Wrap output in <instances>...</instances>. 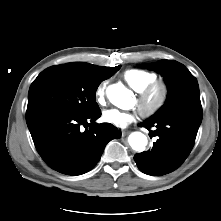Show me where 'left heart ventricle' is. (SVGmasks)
I'll return each instance as SVG.
<instances>
[{"label":"left heart ventricle","mask_w":221,"mask_h":221,"mask_svg":"<svg viewBox=\"0 0 221 221\" xmlns=\"http://www.w3.org/2000/svg\"><path fill=\"white\" fill-rule=\"evenodd\" d=\"M157 98V93L154 94L152 101H154Z\"/></svg>","instance_id":"b2bd125f"}]
</instances>
